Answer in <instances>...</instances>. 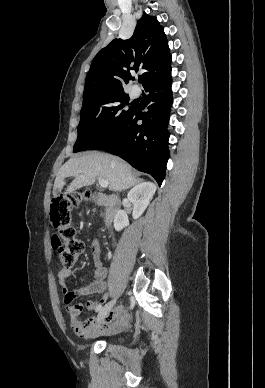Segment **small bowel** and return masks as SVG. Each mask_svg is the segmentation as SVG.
<instances>
[{
  "label": "small bowel",
  "instance_id": "c3829d8e",
  "mask_svg": "<svg viewBox=\"0 0 265 388\" xmlns=\"http://www.w3.org/2000/svg\"><path fill=\"white\" fill-rule=\"evenodd\" d=\"M93 264L95 266L94 281L80 289L70 291L66 283V279L71 275V268H62L58 274L59 285L64 296V302L67 306V312L70 318V324L75 334L79 337L90 338L102 335L121 328L125 321L126 315L122 307L114 309L105 319L98 321L97 317H90L84 321L79 319L82 310V304L72 305L73 301L78 297H89L95 294H103L106 283V269L101 260V243L97 238H94L90 246ZM104 294L99 301H88L85 306L89 311H96V308L105 301ZM62 319L60 324H62Z\"/></svg>",
  "mask_w": 265,
  "mask_h": 388
}]
</instances>
